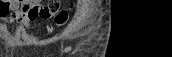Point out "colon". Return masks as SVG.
Wrapping results in <instances>:
<instances>
[{
  "label": "colon",
  "instance_id": "colon-1",
  "mask_svg": "<svg viewBox=\"0 0 172 57\" xmlns=\"http://www.w3.org/2000/svg\"><path fill=\"white\" fill-rule=\"evenodd\" d=\"M56 3H59V1H52L50 2V4L48 6H45L43 8H37V7H31L29 6V4H25L23 9H22V12L25 13V14H28L30 16H37V15H45V14H48L50 12H57L58 10V7H56ZM68 17H69V13L67 10H61L57 13V15L55 16V24L57 26H62L64 25L67 20H68Z\"/></svg>",
  "mask_w": 172,
  "mask_h": 57
}]
</instances>
